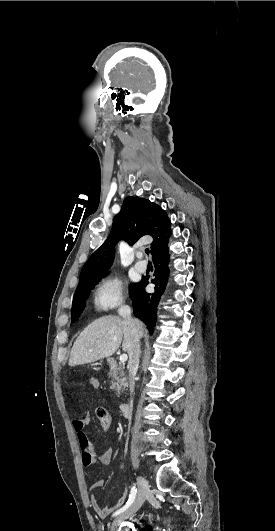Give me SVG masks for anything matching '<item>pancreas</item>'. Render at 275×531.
Returning a JSON list of instances; mask_svg holds the SVG:
<instances>
[{
  "label": "pancreas",
  "mask_w": 275,
  "mask_h": 531,
  "mask_svg": "<svg viewBox=\"0 0 275 531\" xmlns=\"http://www.w3.org/2000/svg\"><path fill=\"white\" fill-rule=\"evenodd\" d=\"M108 377L112 379V387L115 389V391H118L117 395H119L120 391H122V387H127L128 381L127 377L124 375L123 367H117L116 361H110V371L108 373Z\"/></svg>",
  "instance_id": "obj_1"
}]
</instances>
